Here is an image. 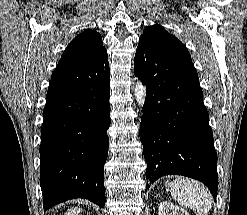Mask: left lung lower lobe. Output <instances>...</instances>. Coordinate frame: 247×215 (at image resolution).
<instances>
[{"label":"left lung lower lobe","instance_id":"0a47b994","mask_svg":"<svg viewBox=\"0 0 247 215\" xmlns=\"http://www.w3.org/2000/svg\"><path fill=\"white\" fill-rule=\"evenodd\" d=\"M134 73L147 88L140 123L146 190L176 174L203 182L216 200L217 153L191 58L139 42Z\"/></svg>","mask_w":247,"mask_h":215}]
</instances>
